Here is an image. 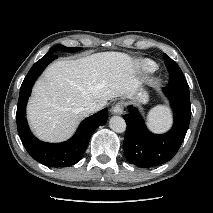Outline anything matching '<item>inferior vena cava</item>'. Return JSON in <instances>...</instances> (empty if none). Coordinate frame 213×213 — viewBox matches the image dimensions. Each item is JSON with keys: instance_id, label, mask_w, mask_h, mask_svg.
Returning a JSON list of instances; mask_svg holds the SVG:
<instances>
[{"instance_id": "inferior-vena-cava-1", "label": "inferior vena cava", "mask_w": 213, "mask_h": 213, "mask_svg": "<svg viewBox=\"0 0 213 213\" xmlns=\"http://www.w3.org/2000/svg\"><path fill=\"white\" fill-rule=\"evenodd\" d=\"M84 109L88 113H93L99 111L101 109V106L98 103L93 102L87 105Z\"/></svg>"}]
</instances>
